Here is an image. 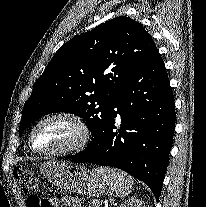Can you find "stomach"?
Wrapping results in <instances>:
<instances>
[{
	"mask_svg": "<svg viewBox=\"0 0 206 207\" xmlns=\"http://www.w3.org/2000/svg\"><path fill=\"white\" fill-rule=\"evenodd\" d=\"M40 171L61 190L89 197H100L106 190L105 182L85 166L50 160L41 164Z\"/></svg>",
	"mask_w": 206,
	"mask_h": 207,
	"instance_id": "1",
	"label": "stomach"
}]
</instances>
